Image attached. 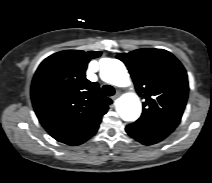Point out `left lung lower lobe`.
Returning a JSON list of instances; mask_svg holds the SVG:
<instances>
[{"instance_id":"1","label":"left lung lower lobe","mask_w":212,"mask_h":183,"mask_svg":"<svg viewBox=\"0 0 212 183\" xmlns=\"http://www.w3.org/2000/svg\"><path fill=\"white\" fill-rule=\"evenodd\" d=\"M127 133L144 145H152L167 137V131L151 128L141 124L133 123L126 127Z\"/></svg>"}]
</instances>
